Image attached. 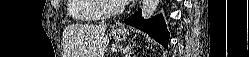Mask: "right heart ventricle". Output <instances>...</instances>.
<instances>
[{"label":"right heart ventricle","mask_w":249,"mask_h":57,"mask_svg":"<svg viewBox=\"0 0 249 57\" xmlns=\"http://www.w3.org/2000/svg\"><path fill=\"white\" fill-rule=\"evenodd\" d=\"M67 12L77 21H96L103 18L96 0H68Z\"/></svg>","instance_id":"1"}]
</instances>
